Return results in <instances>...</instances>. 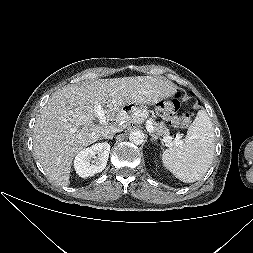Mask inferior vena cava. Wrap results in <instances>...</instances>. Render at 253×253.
Returning <instances> with one entry per match:
<instances>
[{
  "instance_id": "inferior-vena-cava-1",
  "label": "inferior vena cava",
  "mask_w": 253,
  "mask_h": 253,
  "mask_svg": "<svg viewBox=\"0 0 253 253\" xmlns=\"http://www.w3.org/2000/svg\"><path fill=\"white\" fill-rule=\"evenodd\" d=\"M121 130L119 128H115V129H112L110 131H106L103 136L104 137H108V136H111V135H114L115 133L117 132H120Z\"/></svg>"
}]
</instances>
